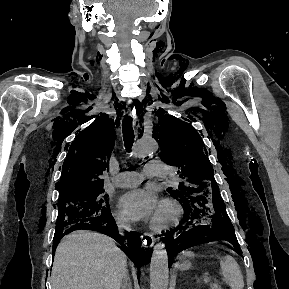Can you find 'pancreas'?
<instances>
[{
	"label": "pancreas",
	"instance_id": "cf45deb5",
	"mask_svg": "<svg viewBox=\"0 0 289 289\" xmlns=\"http://www.w3.org/2000/svg\"><path fill=\"white\" fill-rule=\"evenodd\" d=\"M210 289H222V288L217 283H212V284H210Z\"/></svg>",
	"mask_w": 289,
	"mask_h": 289
}]
</instances>
